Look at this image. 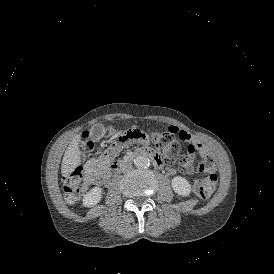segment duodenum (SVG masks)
<instances>
[{
	"mask_svg": "<svg viewBox=\"0 0 274 274\" xmlns=\"http://www.w3.org/2000/svg\"><path fill=\"white\" fill-rule=\"evenodd\" d=\"M138 156L148 157L149 159L152 160L153 164L157 168L163 167V163H162L160 156L154 150H152L148 147H145V148H142V149L128 155L127 157H125L123 159L112 162L109 166V172L113 173V172L118 171L120 168H122L124 165L130 163L134 158H136Z\"/></svg>",
	"mask_w": 274,
	"mask_h": 274,
	"instance_id": "1",
	"label": "duodenum"
}]
</instances>
